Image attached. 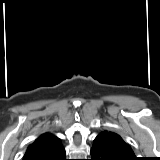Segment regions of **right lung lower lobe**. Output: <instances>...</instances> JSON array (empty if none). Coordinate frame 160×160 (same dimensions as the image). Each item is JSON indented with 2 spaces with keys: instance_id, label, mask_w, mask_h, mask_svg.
<instances>
[{
  "instance_id": "1",
  "label": "right lung lower lobe",
  "mask_w": 160,
  "mask_h": 160,
  "mask_svg": "<svg viewBox=\"0 0 160 160\" xmlns=\"http://www.w3.org/2000/svg\"><path fill=\"white\" fill-rule=\"evenodd\" d=\"M65 156H66L65 149L62 147L57 152H55V153H53V154H51L41 160H66Z\"/></svg>"
}]
</instances>
